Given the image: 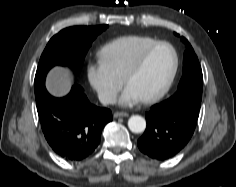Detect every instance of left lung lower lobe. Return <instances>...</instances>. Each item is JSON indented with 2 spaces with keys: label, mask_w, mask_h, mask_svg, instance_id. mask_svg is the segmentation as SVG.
I'll return each instance as SVG.
<instances>
[{
  "label": "left lung lower lobe",
  "mask_w": 236,
  "mask_h": 187,
  "mask_svg": "<svg viewBox=\"0 0 236 187\" xmlns=\"http://www.w3.org/2000/svg\"><path fill=\"white\" fill-rule=\"evenodd\" d=\"M199 110L184 102L173 106L162 102L152 106L146 113V130L138 140L141 152L156 160L173 157L190 140Z\"/></svg>",
  "instance_id": "left-lung-lower-lobe-1"
}]
</instances>
